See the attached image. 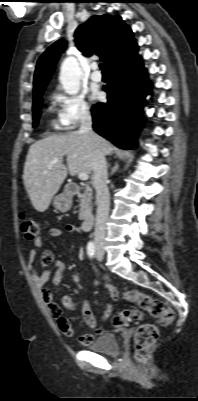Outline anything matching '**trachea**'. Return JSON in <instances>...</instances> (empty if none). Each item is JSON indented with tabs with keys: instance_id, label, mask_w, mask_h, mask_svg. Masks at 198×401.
<instances>
[{
	"instance_id": "1",
	"label": "trachea",
	"mask_w": 198,
	"mask_h": 401,
	"mask_svg": "<svg viewBox=\"0 0 198 401\" xmlns=\"http://www.w3.org/2000/svg\"><path fill=\"white\" fill-rule=\"evenodd\" d=\"M99 66H100V69L102 70V72H103V73H105V72H106V70H105V66H104V64H103V63H101Z\"/></svg>"
}]
</instances>
